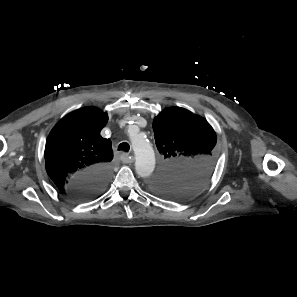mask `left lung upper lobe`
Here are the masks:
<instances>
[{
  "mask_svg": "<svg viewBox=\"0 0 297 297\" xmlns=\"http://www.w3.org/2000/svg\"><path fill=\"white\" fill-rule=\"evenodd\" d=\"M153 131L162 162L151 189L173 200L196 193L214 168L217 137L211 125L186 109L174 107L154 119Z\"/></svg>",
  "mask_w": 297,
  "mask_h": 297,
  "instance_id": "left-lung-upper-lobe-1",
  "label": "left lung upper lobe"
}]
</instances>
